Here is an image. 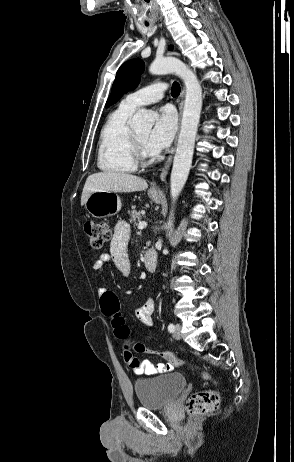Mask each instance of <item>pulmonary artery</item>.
I'll return each mask as SVG.
<instances>
[{"label": "pulmonary artery", "instance_id": "1", "mask_svg": "<svg viewBox=\"0 0 294 462\" xmlns=\"http://www.w3.org/2000/svg\"><path fill=\"white\" fill-rule=\"evenodd\" d=\"M167 85L164 82H157L146 87H143L133 93L128 94L123 100L122 104L136 109L140 106L155 103L163 98Z\"/></svg>", "mask_w": 294, "mask_h": 462}]
</instances>
